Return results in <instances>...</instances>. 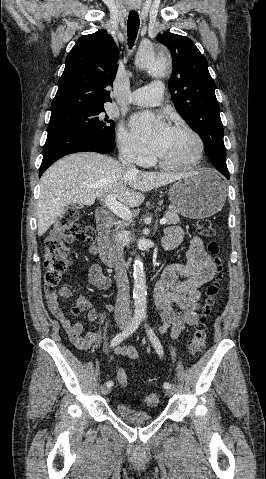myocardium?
I'll return each mask as SVG.
<instances>
[{"label":"myocardium","instance_id":"1","mask_svg":"<svg viewBox=\"0 0 266 479\" xmlns=\"http://www.w3.org/2000/svg\"><path fill=\"white\" fill-rule=\"evenodd\" d=\"M172 129L186 132L193 138L195 142L194 153L189 159L185 161H181V162H166L160 159L159 157H157L156 158L157 164L160 167L164 169H168V170H186V169H191L196 167L204 154L205 147H204L203 139L193 128L185 124H177L173 126Z\"/></svg>","mask_w":266,"mask_h":479}]
</instances>
